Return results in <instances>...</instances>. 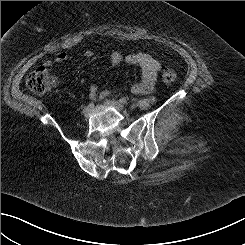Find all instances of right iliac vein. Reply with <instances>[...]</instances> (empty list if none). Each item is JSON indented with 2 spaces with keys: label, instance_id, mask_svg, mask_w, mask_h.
Here are the masks:
<instances>
[{
  "label": "right iliac vein",
  "instance_id": "63e3f726",
  "mask_svg": "<svg viewBox=\"0 0 245 245\" xmlns=\"http://www.w3.org/2000/svg\"><path fill=\"white\" fill-rule=\"evenodd\" d=\"M90 112H91V108L89 106H86L82 111L85 117H88L90 115Z\"/></svg>",
  "mask_w": 245,
  "mask_h": 245
}]
</instances>
